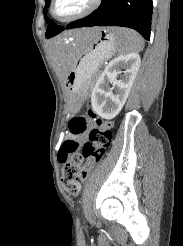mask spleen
<instances>
[{"instance_id": "obj_1", "label": "spleen", "mask_w": 183, "mask_h": 246, "mask_svg": "<svg viewBox=\"0 0 183 246\" xmlns=\"http://www.w3.org/2000/svg\"><path fill=\"white\" fill-rule=\"evenodd\" d=\"M121 38V53H127L132 51H141L144 48V42L141 36L133 30L122 28L120 34ZM95 52L92 57H95ZM90 62L89 56H85L81 62V68L86 67Z\"/></svg>"}]
</instances>
